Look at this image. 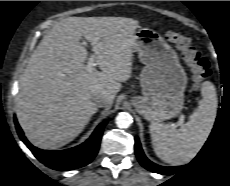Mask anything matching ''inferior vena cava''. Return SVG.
<instances>
[{"label":"inferior vena cava","mask_w":230,"mask_h":186,"mask_svg":"<svg viewBox=\"0 0 230 186\" xmlns=\"http://www.w3.org/2000/svg\"><path fill=\"white\" fill-rule=\"evenodd\" d=\"M93 101L97 107H105L108 104V99L104 95L96 96Z\"/></svg>","instance_id":"602c4592"}]
</instances>
